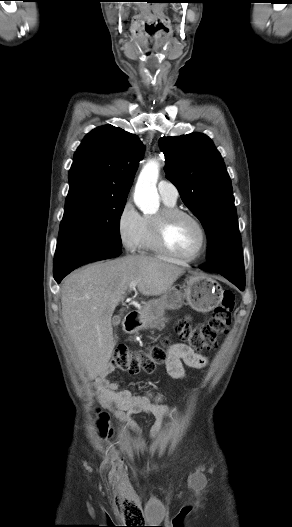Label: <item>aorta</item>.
Listing matches in <instances>:
<instances>
[{"label":"aorta","mask_w":292,"mask_h":527,"mask_svg":"<svg viewBox=\"0 0 292 527\" xmlns=\"http://www.w3.org/2000/svg\"><path fill=\"white\" fill-rule=\"evenodd\" d=\"M160 165L157 159L149 160L142 168L134 193V202L144 213H152L158 209L159 195L156 184Z\"/></svg>","instance_id":"aorta-1"}]
</instances>
